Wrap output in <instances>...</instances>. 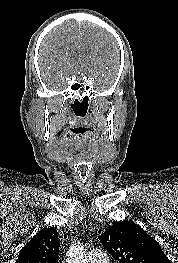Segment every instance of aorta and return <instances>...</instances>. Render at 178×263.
Segmentation results:
<instances>
[{"mask_svg":"<svg viewBox=\"0 0 178 263\" xmlns=\"http://www.w3.org/2000/svg\"><path fill=\"white\" fill-rule=\"evenodd\" d=\"M67 263H88L82 246H75L68 252Z\"/></svg>","mask_w":178,"mask_h":263,"instance_id":"aorta-1","label":"aorta"}]
</instances>
